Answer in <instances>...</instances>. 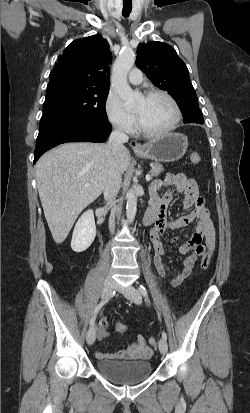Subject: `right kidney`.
<instances>
[{"label":"right kidney","instance_id":"1","mask_svg":"<svg viewBox=\"0 0 250 413\" xmlns=\"http://www.w3.org/2000/svg\"><path fill=\"white\" fill-rule=\"evenodd\" d=\"M96 236V226L92 210L84 212L77 221L71 241L75 252H83L90 247Z\"/></svg>","mask_w":250,"mask_h":413}]
</instances>
